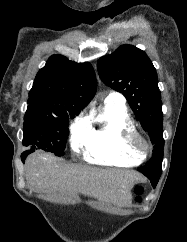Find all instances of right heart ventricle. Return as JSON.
<instances>
[{
	"instance_id": "right-heart-ventricle-1",
	"label": "right heart ventricle",
	"mask_w": 187,
	"mask_h": 242,
	"mask_svg": "<svg viewBox=\"0 0 187 242\" xmlns=\"http://www.w3.org/2000/svg\"><path fill=\"white\" fill-rule=\"evenodd\" d=\"M88 124L89 135L83 145V157L87 162L102 166L130 167L142 161L123 144V133L136 130L124 104L104 102Z\"/></svg>"
}]
</instances>
